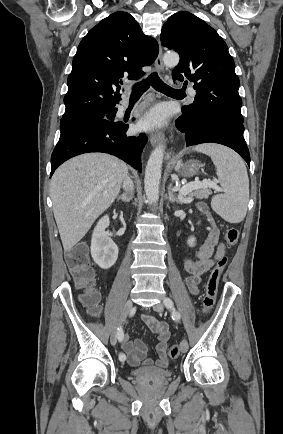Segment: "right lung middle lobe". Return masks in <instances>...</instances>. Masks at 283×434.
Wrapping results in <instances>:
<instances>
[{
  "label": "right lung middle lobe",
  "mask_w": 283,
  "mask_h": 434,
  "mask_svg": "<svg viewBox=\"0 0 283 434\" xmlns=\"http://www.w3.org/2000/svg\"><path fill=\"white\" fill-rule=\"evenodd\" d=\"M108 117V112H104L95 116H91V117H87V118H80V119H61L60 122V131H64L68 128H71L75 125H78L84 121H88V120H97V119H102V118H107Z\"/></svg>",
  "instance_id": "1"
}]
</instances>
